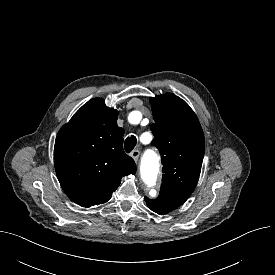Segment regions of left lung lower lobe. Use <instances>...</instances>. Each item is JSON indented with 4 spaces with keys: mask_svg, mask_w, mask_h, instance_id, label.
<instances>
[{
    "mask_svg": "<svg viewBox=\"0 0 275 275\" xmlns=\"http://www.w3.org/2000/svg\"><path fill=\"white\" fill-rule=\"evenodd\" d=\"M187 199H181V198H162V197H158L154 200H150L147 197L145 198V201L148 205V207L160 214H166L174 209H176L177 207H179L180 205H182Z\"/></svg>",
    "mask_w": 275,
    "mask_h": 275,
    "instance_id": "0a47b994",
    "label": "left lung lower lobe"
}]
</instances>
